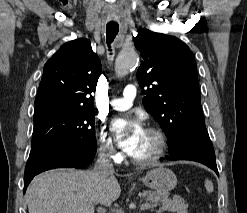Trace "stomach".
Returning <instances> with one entry per match:
<instances>
[{"label": "stomach", "mask_w": 247, "mask_h": 213, "mask_svg": "<svg viewBox=\"0 0 247 213\" xmlns=\"http://www.w3.org/2000/svg\"><path fill=\"white\" fill-rule=\"evenodd\" d=\"M141 181L147 187L159 193L169 192L177 185V178L174 172L163 166L148 171Z\"/></svg>", "instance_id": "1"}]
</instances>
